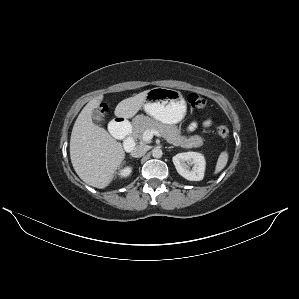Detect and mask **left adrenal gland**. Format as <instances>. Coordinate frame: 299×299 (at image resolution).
Wrapping results in <instances>:
<instances>
[{
    "instance_id": "obj_1",
    "label": "left adrenal gland",
    "mask_w": 299,
    "mask_h": 299,
    "mask_svg": "<svg viewBox=\"0 0 299 299\" xmlns=\"http://www.w3.org/2000/svg\"><path fill=\"white\" fill-rule=\"evenodd\" d=\"M174 148L173 146H169L168 149Z\"/></svg>"
}]
</instances>
